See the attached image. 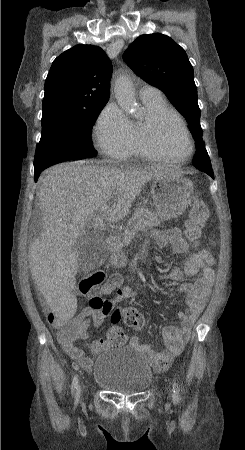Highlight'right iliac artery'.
<instances>
[{
    "mask_svg": "<svg viewBox=\"0 0 245 450\" xmlns=\"http://www.w3.org/2000/svg\"><path fill=\"white\" fill-rule=\"evenodd\" d=\"M72 393L75 394L76 400L80 394V387H79V379L78 375L74 376L73 383H72Z\"/></svg>",
    "mask_w": 245,
    "mask_h": 450,
    "instance_id": "82829eb1",
    "label": "right iliac artery"
}]
</instances>
